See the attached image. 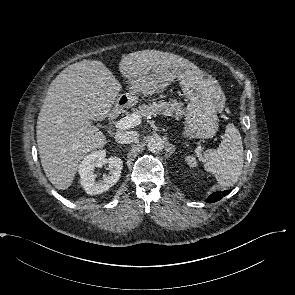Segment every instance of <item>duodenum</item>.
<instances>
[{"instance_id":"obj_1","label":"duodenum","mask_w":295,"mask_h":295,"mask_svg":"<svg viewBox=\"0 0 295 295\" xmlns=\"http://www.w3.org/2000/svg\"><path fill=\"white\" fill-rule=\"evenodd\" d=\"M125 107V102L124 100H119L115 106L113 107L111 113H110V119H115L117 118L122 111L124 110Z\"/></svg>"}]
</instances>
